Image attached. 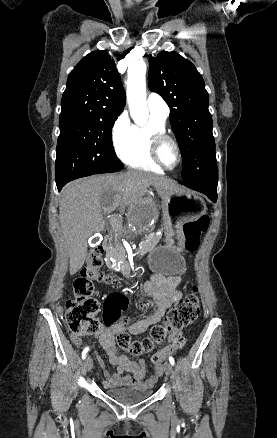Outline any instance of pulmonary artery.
<instances>
[{"label":"pulmonary artery","instance_id":"e3ab8cb5","mask_svg":"<svg viewBox=\"0 0 277 438\" xmlns=\"http://www.w3.org/2000/svg\"><path fill=\"white\" fill-rule=\"evenodd\" d=\"M144 107L148 113L160 120L166 121L170 114L169 106L163 101L162 95H147Z\"/></svg>","mask_w":277,"mask_h":438}]
</instances>
